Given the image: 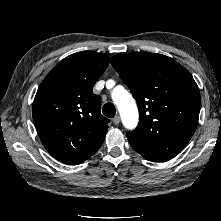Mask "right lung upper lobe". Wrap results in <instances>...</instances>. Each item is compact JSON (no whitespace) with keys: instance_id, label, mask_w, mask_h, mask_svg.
<instances>
[{"instance_id":"obj_1","label":"right lung upper lobe","mask_w":221,"mask_h":221,"mask_svg":"<svg viewBox=\"0 0 221 221\" xmlns=\"http://www.w3.org/2000/svg\"><path fill=\"white\" fill-rule=\"evenodd\" d=\"M109 64L107 54L82 51L60 61L40 84L33 121L45 149L66 164H79L102 145L109 120L92 88Z\"/></svg>"}]
</instances>
